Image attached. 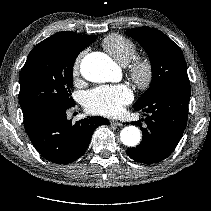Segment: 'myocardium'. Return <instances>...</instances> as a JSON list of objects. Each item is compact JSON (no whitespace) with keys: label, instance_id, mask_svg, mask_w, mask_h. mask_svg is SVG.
Wrapping results in <instances>:
<instances>
[{"label":"myocardium","instance_id":"1","mask_svg":"<svg viewBox=\"0 0 211 211\" xmlns=\"http://www.w3.org/2000/svg\"><path fill=\"white\" fill-rule=\"evenodd\" d=\"M132 80L140 87L147 88L154 78V64L148 56H135L128 64Z\"/></svg>","mask_w":211,"mask_h":211}]
</instances>
